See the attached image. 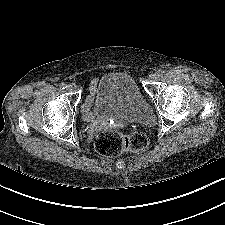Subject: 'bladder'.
<instances>
[{"mask_svg":"<svg viewBox=\"0 0 225 225\" xmlns=\"http://www.w3.org/2000/svg\"><path fill=\"white\" fill-rule=\"evenodd\" d=\"M93 108L97 119L151 123L154 118L135 79L126 72H110L96 82Z\"/></svg>","mask_w":225,"mask_h":225,"instance_id":"obj_1","label":"bladder"}]
</instances>
